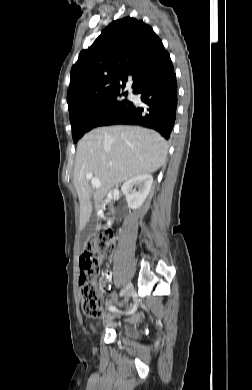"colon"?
Wrapping results in <instances>:
<instances>
[{"instance_id":"1","label":"colon","mask_w":252,"mask_h":390,"mask_svg":"<svg viewBox=\"0 0 252 390\" xmlns=\"http://www.w3.org/2000/svg\"><path fill=\"white\" fill-rule=\"evenodd\" d=\"M114 237L106 232L89 240L80 257L81 272L79 285L82 296L83 312L92 318L103 316L101 296L97 288L96 279L99 275L101 258L109 257L113 253Z\"/></svg>"}]
</instances>
